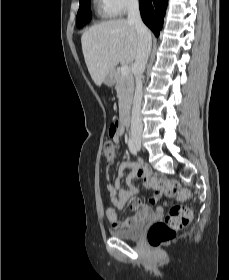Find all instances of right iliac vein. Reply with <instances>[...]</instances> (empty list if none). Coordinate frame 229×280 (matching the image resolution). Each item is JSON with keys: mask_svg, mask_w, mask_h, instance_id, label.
Here are the masks:
<instances>
[{"mask_svg": "<svg viewBox=\"0 0 229 280\" xmlns=\"http://www.w3.org/2000/svg\"><path fill=\"white\" fill-rule=\"evenodd\" d=\"M135 144L138 145V146H141V140L140 139H135Z\"/></svg>", "mask_w": 229, "mask_h": 280, "instance_id": "right-iliac-vein-1", "label": "right iliac vein"}]
</instances>
